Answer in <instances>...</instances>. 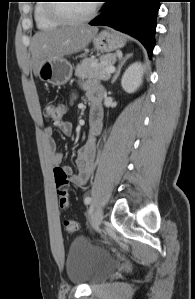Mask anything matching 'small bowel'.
Masks as SVG:
<instances>
[{"label":"small bowel","instance_id":"obj_1","mask_svg":"<svg viewBox=\"0 0 195 299\" xmlns=\"http://www.w3.org/2000/svg\"><path fill=\"white\" fill-rule=\"evenodd\" d=\"M85 90L91 105L89 118L90 136L87 142L77 150L76 163L79 169L77 173L74 174L72 169L68 166H61L64 156L63 153L57 149L53 138V128L51 126H47L43 131V136L51 156L52 164L55 167L61 166V168L70 177L71 183L77 187L85 185L94 168L96 152L94 137L101 130L100 100L102 98V87L99 85H89L85 88ZM59 129L63 134L70 135L73 130V125L70 121H64L59 125Z\"/></svg>","mask_w":195,"mask_h":299}]
</instances>
